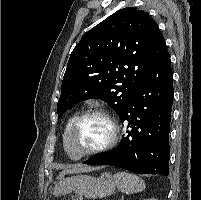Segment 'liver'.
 Here are the masks:
<instances>
[{
    "instance_id": "1",
    "label": "liver",
    "mask_w": 201,
    "mask_h": 200,
    "mask_svg": "<svg viewBox=\"0 0 201 200\" xmlns=\"http://www.w3.org/2000/svg\"><path fill=\"white\" fill-rule=\"evenodd\" d=\"M90 168L87 167H82L80 165H75L72 168L69 169H64L63 171H61L58 175V179H61L64 175L66 174H72V173H79L81 171H86L89 170Z\"/></svg>"
}]
</instances>
